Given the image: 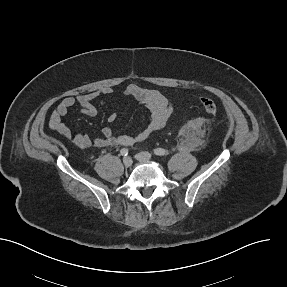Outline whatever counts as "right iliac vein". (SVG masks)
Wrapping results in <instances>:
<instances>
[{"label":"right iliac vein","mask_w":287,"mask_h":287,"mask_svg":"<svg viewBox=\"0 0 287 287\" xmlns=\"http://www.w3.org/2000/svg\"><path fill=\"white\" fill-rule=\"evenodd\" d=\"M133 161L130 157H125L123 159V164L125 167H130L132 165Z\"/></svg>","instance_id":"right-iliac-vein-1"}]
</instances>
